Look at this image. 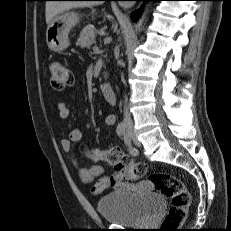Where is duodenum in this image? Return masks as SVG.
<instances>
[{
  "label": "duodenum",
  "instance_id": "obj_1",
  "mask_svg": "<svg viewBox=\"0 0 231 231\" xmlns=\"http://www.w3.org/2000/svg\"><path fill=\"white\" fill-rule=\"evenodd\" d=\"M101 91L102 94L104 96V98L106 99V101L108 103H110L111 105H115L117 102V95L115 90L108 84H103L101 86Z\"/></svg>",
  "mask_w": 231,
  "mask_h": 231
}]
</instances>
